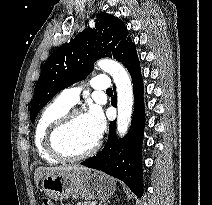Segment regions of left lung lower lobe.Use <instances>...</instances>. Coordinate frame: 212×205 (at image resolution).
I'll use <instances>...</instances> for the list:
<instances>
[{"label": "left lung lower lobe", "instance_id": "left-lung-lower-lobe-1", "mask_svg": "<svg viewBox=\"0 0 212 205\" xmlns=\"http://www.w3.org/2000/svg\"><path fill=\"white\" fill-rule=\"evenodd\" d=\"M123 65L131 75L135 98L130 130L126 137L117 139L115 122H111L109 137L104 148L81 164L122 180L135 195L141 197L143 193L141 151L145 126V109L140 62L134 44L131 54Z\"/></svg>", "mask_w": 212, "mask_h": 205}]
</instances>
